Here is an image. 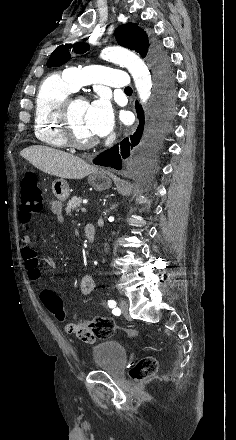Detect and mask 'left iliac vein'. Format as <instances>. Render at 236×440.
I'll return each mask as SVG.
<instances>
[{"label": "left iliac vein", "instance_id": "1", "mask_svg": "<svg viewBox=\"0 0 236 440\" xmlns=\"http://www.w3.org/2000/svg\"><path fill=\"white\" fill-rule=\"evenodd\" d=\"M119 307H120V310H121V312H122L123 314H127V313H128V307H129V305H128V302H127L125 299H121V300H120V302H119Z\"/></svg>", "mask_w": 236, "mask_h": 440}]
</instances>
